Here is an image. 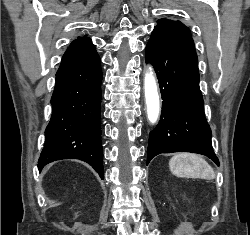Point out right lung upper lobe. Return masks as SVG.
<instances>
[{
	"label": "right lung upper lobe",
	"mask_w": 250,
	"mask_h": 235,
	"mask_svg": "<svg viewBox=\"0 0 250 235\" xmlns=\"http://www.w3.org/2000/svg\"><path fill=\"white\" fill-rule=\"evenodd\" d=\"M90 38L84 36V37H78L77 39H75L70 46L74 45V44H77V43H80V42H84V41H89Z\"/></svg>",
	"instance_id": "cb5924a9"
}]
</instances>
